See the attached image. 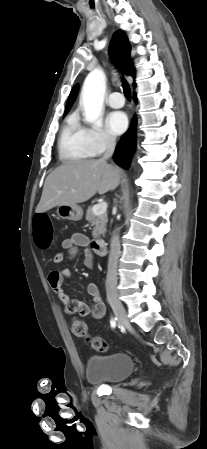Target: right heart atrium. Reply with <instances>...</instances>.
Returning a JSON list of instances; mask_svg holds the SVG:
<instances>
[{
  "mask_svg": "<svg viewBox=\"0 0 207 449\" xmlns=\"http://www.w3.org/2000/svg\"><path fill=\"white\" fill-rule=\"evenodd\" d=\"M84 132L93 155H100L116 144L115 137L101 127H86Z\"/></svg>",
  "mask_w": 207,
  "mask_h": 449,
  "instance_id": "d8ad5b80",
  "label": "right heart atrium"
}]
</instances>
